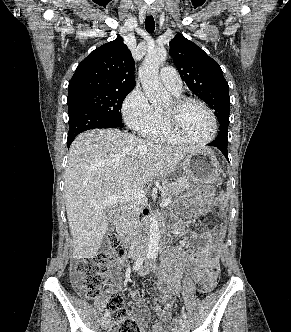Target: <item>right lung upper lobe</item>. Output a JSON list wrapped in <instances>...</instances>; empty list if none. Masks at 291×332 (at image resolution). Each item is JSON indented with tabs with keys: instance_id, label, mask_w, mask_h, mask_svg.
<instances>
[{
	"instance_id": "right-lung-upper-lobe-1",
	"label": "right lung upper lobe",
	"mask_w": 291,
	"mask_h": 332,
	"mask_svg": "<svg viewBox=\"0 0 291 332\" xmlns=\"http://www.w3.org/2000/svg\"><path fill=\"white\" fill-rule=\"evenodd\" d=\"M134 86V61L123 39L118 36L80 62L69 82L68 98L90 92L132 90Z\"/></svg>"
}]
</instances>
